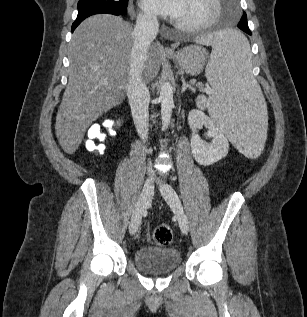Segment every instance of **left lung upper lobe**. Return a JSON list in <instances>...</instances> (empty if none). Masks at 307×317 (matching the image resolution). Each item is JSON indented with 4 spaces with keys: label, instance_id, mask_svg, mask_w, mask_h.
<instances>
[{
    "label": "left lung upper lobe",
    "instance_id": "left-lung-upper-lobe-1",
    "mask_svg": "<svg viewBox=\"0 0 307 317\" xmlns=\"http://www.w3.org/2000/svg\"><path fill=\"white\" fill-rule=\"evenodd\" d=\"M245 20H247V16H246V13H243V15H242V17H241L239 23H240L241 21H245ZM239 23H238V24H239Z\"/></svg>",
    "mask_w": 307,
    "mask_h": 317
}]
</instances>
